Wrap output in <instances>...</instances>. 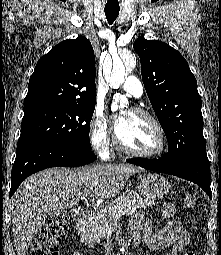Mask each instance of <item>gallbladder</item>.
Returning <instances> with one entry per match:
<instances>
[{
    "label": "gallbladder",
    "instance_id": "gallbladder-1",
    "mask_svg": "<svg viewBox=\"0 0 221 255\" xmlns=\"http://www.w3.org/2000/svg\"><path fill=\"white\" fill-rule=\"evenodd\" d=\"M64 212H65V211L62 210V209H57V210H55V211L51 214V216H59V215L63 214Z\"/></svg>",
    "mask_w": 221,
    "mask_h": 255
}]
</instances>
